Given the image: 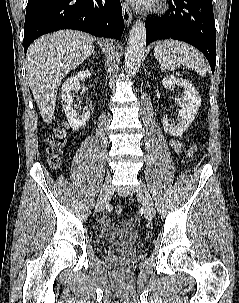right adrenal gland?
<instances>
[{
	"label": "right adrenal gland",
	"instance_id": "right-adrenal-gland-1",
	"mask_svg": "<svg viewBox=\"0 0 239 303\" xmlns=\"http://www.w3.org/2000/svg\"><path fill=\"white\" fill-rule=\"evenodd\" d=\"M91 55H97V52L95 51V47H94V46L92 47L90 56H91Z\"/></svg>",
	"mask_w": 239,
	"mask_h": 303
}]
</instances>
